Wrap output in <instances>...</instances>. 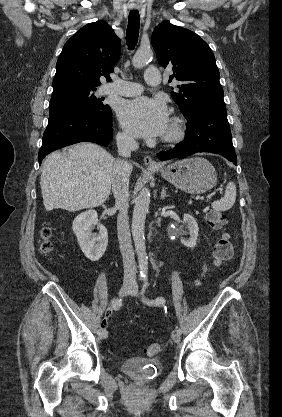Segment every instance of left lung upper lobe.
<instances>
[{"label": "left lung upper lobe", "mask_w": 282, "mask_h": 417, "mask_svg": "<svg viewBox=\"0 0 282 417\" xmlns=\"http://www.w3.org/2000/svg\"><path fill=\"white\" fill-rule=\"evenodd\" d=\"M152 45L159 64L173 71L169 82L179 83L171 94L186 119L198 104L223 102L214 54L196 33L163 21L152 34Z\"/></svg>", "instance_id": "1"}]
</instances>
